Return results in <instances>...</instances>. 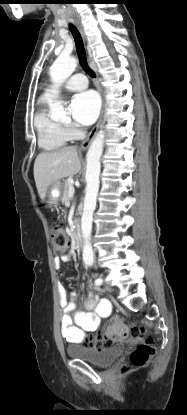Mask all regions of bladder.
Instances as JSON below:
<instances>
[{
    "label": "bladder",
    "mask_w": 187,
    "mask_h": 415,
    "mask_svg": "<svg viewBox=\"0 0 187 415\" xmlns=\"http://www.w3.org/2000/svg\"><path fill=\"white\" fill-rule=\"evenodd\" d=\"M125 350L124 343L101 349L74 345L68 346L66 353L70 358L81 359L99 367H108L119 359Z\"/></svg>",
    "instance_id": "31cf9c89"
}]
</instances>
